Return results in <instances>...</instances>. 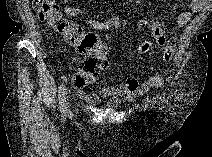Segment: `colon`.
I'll return each mask as SVG.
<instances>
[{
  "label": "colon",
  "instance_id": "1",
  "mask_svg": "<svg viewBox=\"0 0 212 157\" xmlns=\"http://www.w3.org/2000/svg\"><path fill=\"white\" fill-rule=\"evenodd\" d=\"M33 7L37 11L39 18L47 23L56 33L61 35L66 41L78 46V50L84 55L79 62L78 70L73 76V84L76 88H84L93 83L99 74L108 67V51L100 38L87 33L83 28L68 21L61 13L57 2L52 0H36ZM154 39L160 44L162 37ZM151 41H143L138 50L144 54L149 51Z\"/></svg>",
  "mask_w": 212,
  "mask_h": 157
}]
</instances>
